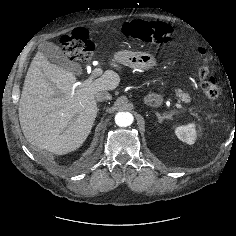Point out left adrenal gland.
<instances>
[{"label": "left adrenal gland", "instance_id": "1", "mask_svg": "<svg viewBox=\"0 0 236 236\" xmlns=\"http://www.w3.org/2000/svg\"><path fill=\"white\" fill-rule=\"evenodd\" d=\"M155 114H156L159 122H162L164 119H172L170 114H163V115H161L158 112H155Z\"/></svg>", "mask_w": 236, "mask_h": 236}]
</instances>
